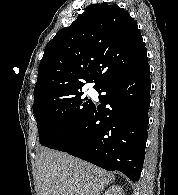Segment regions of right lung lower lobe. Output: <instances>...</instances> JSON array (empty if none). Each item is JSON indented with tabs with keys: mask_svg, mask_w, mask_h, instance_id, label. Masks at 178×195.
<instances>
[{
	"mask_svg": "<svg viewBox=\"0 0 178 195\" xmlns=\"http://www.w3.org/2000/svg\"><path fill=\"white\" fill-rule=\"evenodd\" d=\"M150 89L148 61L103 84L96 89L106 92L100 99L103 109L93 104L54 149L137 181L145 157Z\"/></svg>",
	"mask_w": 178,
	"mask_h": 195,
	"instance_id": "98d812e1",
	"label": "right lung lower lobe"
}]
</instances>
